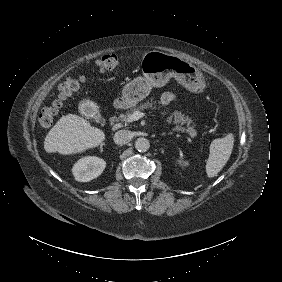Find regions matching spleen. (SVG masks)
<instances>
[{"mask_svg":"<svg viewBox=\"0 0 282 282\" xmlns=\"http://www.w3.org/2000/svg\"><path fill=\"white\" fill-rule=\"evenodd\" d=\"M233 147V137L215 139L210 146V154L206 163V172L209 176H215L225 165L230 157Z\"/></svg>","mask_w":282,"mask_h":282,"instance_id":"3e777b00","label":"spleen"}]
</instances>
